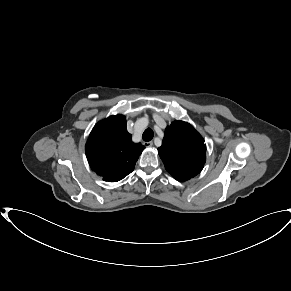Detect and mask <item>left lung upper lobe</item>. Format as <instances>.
Wrapping results in <instances>:
<instances>
[{"label": "left lung upper lobe", "instance_id": "obj_1", "mask_svg": "<svg viewBox=\"0 0 291 291\" xmlns=\"http://www.w3.org/2000/svg\"><path fill=\"white\" fill-rule=\"evenodd\" d=\"M158 151L166 170L180 182L199 174L206 161L204 139L183 121H175L166 128Z\"/></svg>", "mask_w": 291, "mask_h": 291}]
</instances>
